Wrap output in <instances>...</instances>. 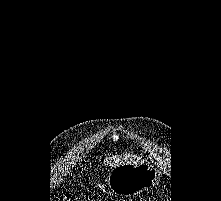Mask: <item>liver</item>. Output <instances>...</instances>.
<instances>
[{
	"instance_id": "obj_1",
	"label": "liver",
	"mask_w": 221,
	"mask_h": 201,
	"mask_svg": "<svg viewBox=\"0 0 221 201\" xmlns=\"http://www.w3.org/2000/svg\"><path fill=\"white\" fill-rule=\"evenodd\" d=\"M137 157L134 155H124V156H113L111 158H108L106 160V162L110 165V166H117L120 164H125L128 162H136Z\"/></svg>"
}]
</instances>
